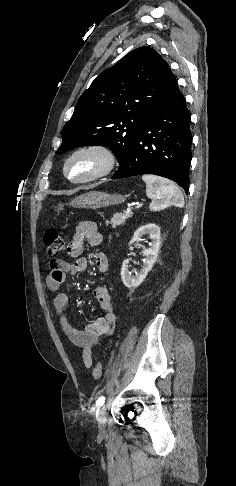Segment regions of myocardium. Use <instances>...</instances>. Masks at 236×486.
I'll return each mask as SVG.
<instances>
[{
  "mask_svg": "<svg viewBox=\"0 0 236 486\" xmlns=\"http://www.w3.org/2000/svg\"><path fill=\"white\" fill-rule=\"evenodd\" d=\"M91 153L95 154L100 159V167L97 171L89 176L81 179H73L68 174V166L70 162L78 155ZM117 155L107 145L104 144H88L75 149L65 160L63 165V174L65 178L73 184H87L108 176L117 165Z\"/></svg>",
  "mask_w": 236,
  "mask_h": 486,
  "instance_id": "myocardium-1",
  "label": "myocardium"
}]
</instances>
